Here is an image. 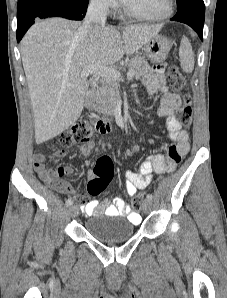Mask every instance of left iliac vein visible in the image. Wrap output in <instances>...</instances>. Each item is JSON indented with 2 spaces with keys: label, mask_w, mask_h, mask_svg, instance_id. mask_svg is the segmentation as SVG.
I'll return each instance as SVG.
<instances>
[{
  "label": "left iliac vein",
  "mask_w": 227,
  "mask_h": 298,
  "mask_svg": "<svg viewBox=\"0 0 227 298\" xmlns=\"http://www.w3.org/2000/svg\"><path fill=\"white\" fill-rule=\"evenodd\" d=\"M151 208H152V201L149 200V199H146L144 202H143V205H142V210L144 213H149L151 211Z\"/></svg>",
  "instance_id": "obj_1"
}]
</instances>
